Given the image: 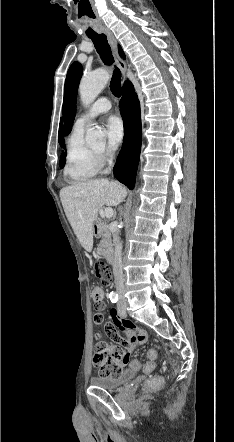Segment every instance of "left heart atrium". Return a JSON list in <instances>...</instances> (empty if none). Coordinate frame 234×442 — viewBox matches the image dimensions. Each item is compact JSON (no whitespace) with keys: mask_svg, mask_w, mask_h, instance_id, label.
Segmentation results:
<instances>
[{"mask_svg":"<svg viewBox=\"0 0 234 442\" xmlns=\"http://www.w3.org/2000/svg\"><path fill=\"white\" fill-rule=\"evenodd\" d=\"M105 129L108 138V149L113 151L124 138L123 122L118 116L112 115L106 120Z\"/></svg>","mask_w":234,"mask_h":442,"instance_id":"1","label":"left heart atrium"}]
</instances>
